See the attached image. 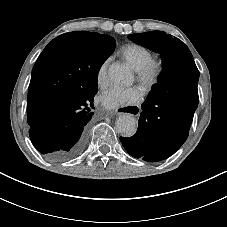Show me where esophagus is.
I'll list each match as a JSON object with an SVG mask.
<instances>
[{"label": "esophagus", "instance_id": "esophagus-1", "mask_svg": "<svg viewBox=\"0 0 227 227\" xmlns=\"http://www.w3.org/2000/svg\"><path fill=\"white\" fill-rule=\"evenodd\" d=\"M140 106L139 105H133V106H120L117 108V113L120 115H126L131 114L133 116H137L140 113Z\"/></svg>", "mask_w": 227, "mask_h": 227}]
</instances>
